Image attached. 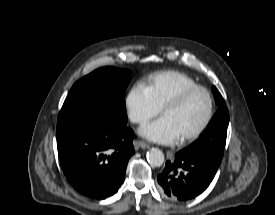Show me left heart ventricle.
<instances>
[{"instance_id":"b2bd125f","label":"left heart ventricle","mask_w":275,"mask_h":215,"mask_svg":"<svg viewBox=\"0 0 275 215\" xmlns=\"http://www.w3.org/2000/svg\"><path fill=\"white\" fill-rule=\"evenodd\" d=\"M209 101L206 94L196 91L189 95L179 106L169 108L163 116L175 127L178 137H184L194 131L207 115Z\"/></svg>"}]
</instances>
